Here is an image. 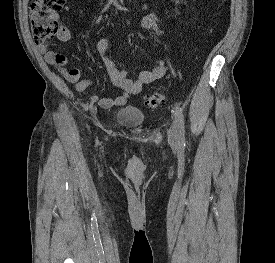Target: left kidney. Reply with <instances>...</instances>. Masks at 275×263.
<instances>
[{
	"mask_svg": "<svg viewBox=\"0 0 275 263\" xmlns=\"http://www.w3.org/2000/svg\"><path fill=\"white\" fill-rule=\"evenodd\" d=\"M177 3L179 2V0H175Z\"/></svg>",
	"mask_w": 275,
	"mask_h": 263,
	"instance_id": "5707ae66",
	"label": "left kidney"
}]
</instances>
